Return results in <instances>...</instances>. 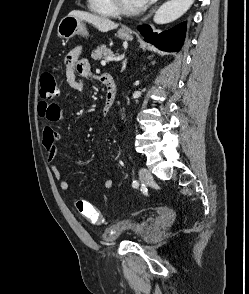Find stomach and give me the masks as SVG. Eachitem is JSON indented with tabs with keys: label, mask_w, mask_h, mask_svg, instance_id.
<instances>
[{
	"label": "stomach",
	"mask_w": 249,
	"mask_h": 294,
	"mask_svg": "<svg viewBox=\"0 0 249 294\" xmlns=\"http://www.w3.org/2000/svg\"><path fill=\"white\" fill-rule=\"evenodd\" d=\"M57 33L64 40H69L75 35H88L84 21L72 15H67L61 19ZM117 37L122 40H131L132 34L127 29L122 28L117 31Z\"/></svg>",
	"instance_id": "obj_1"
}]
</instances>
